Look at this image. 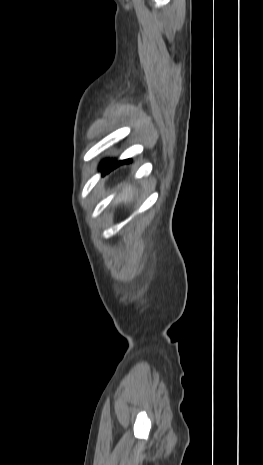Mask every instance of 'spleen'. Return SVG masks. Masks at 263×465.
<instances>
[{"instance_id": "spleen-1", "label": "spleen", "mask_w": 263, "mask_h": 465, "mask_svg": "<svg viewBox=\"0 0 263 465\" xmlns=\"http://www.w3.org/2000/svg\"><path fill=\"white\" fill-rule=\"evenodd\" d=\"M132 197V191L130 188L126 189L123 194L121 195L120 201L124 200H129V198Z\"/></svg>"}]
</instances>
